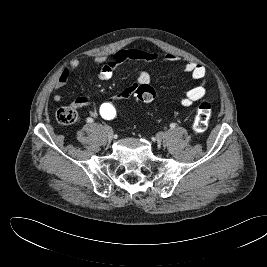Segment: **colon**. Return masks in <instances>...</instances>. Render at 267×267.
Wrapping results in <instances>:
<instances>
[{
    "label": "colon",
    "mask_w": 267,
    "mask_h": 267,
    "mask_svg": "<svg viewBox=\"0 0 267 267\" xmlns=\"http://www.w3.org/2000/svg\"><path fill=\"white\" fill-rule=\"evenodd\" d=\"M135 98L139 103L146 104L155 97L154 89L148 84H140L135 89ZM121 100L112 95L104 99L97 106V114L104 120H114L120 112ZM211 116V105L208 102H201L196 110L193 130L196 133H203L207 130ZM56 119L63 125H70L76 122L77 112L71 107H62L56 113Z\"/></svg>",
    "instance_id": "obj_1"
}]
</instances>
